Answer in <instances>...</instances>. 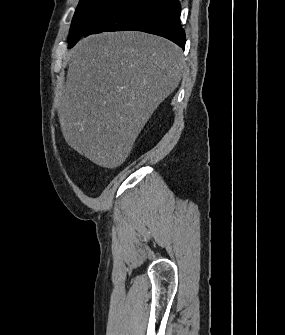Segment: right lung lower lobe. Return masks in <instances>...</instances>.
Returning a JSON list of instances; mask_svg holds the SVG:
<instances>
[{"instance_id": "1", "label": "right lung lower lobe", "mask_w": 285, "mask_h": 335, "mask_svg": "<svg viewBox=\"0 0 285 335\" xmlns=\"http://www.w3.org/2000/svg\"><path fill=\"white\" fill-rule=\"evenodd\" d=\"M180 14L179 0H119L93 22L83 36L136 30L165 37L184 49L186 38ZM72 46L74 44L69 45Z\"/></svg>"}]
</instances>
